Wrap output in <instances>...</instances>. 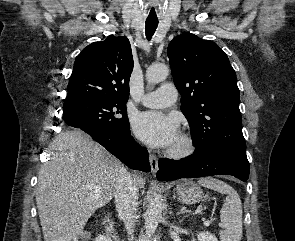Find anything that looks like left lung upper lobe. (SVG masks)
Segmentation results:
<instances>
[{
    "label": "left lung upper lobe",
    "instance_id": "1",
    "mask_svg": "<svg viewBox=\"0 0 295 241\" xmlns=\"http://www.w3.org/2000/svg\"><path fill=\"white\" fill-rule=\"evenodd\" d=\"M167 55L194 153L224 150L247 157L240 92L226 53L212 41L185 33L170 42Z\"/></svg>",
    "mask_w": 295,
    "mask_h": 241
}]
</instances>
